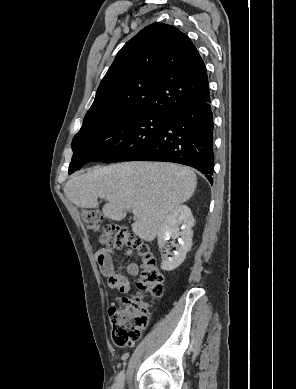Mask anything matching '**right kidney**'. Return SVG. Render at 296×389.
<instances>
[{"label":"right kidney","instance_id":"ca27d5eb","mask_svg":"<svg viewBox=\"0 0 296 389\" xmlns=\"http://www.w3.org/2000/svg\"><path fill=\"white\" fill-rule=\"evenodd\" d=\"M195 224L191 209L186 205L177 206L165 218L158 230V245L161 249L169 247L167 241L172 238V247L176 248L174 255L162 260L161 269L172 271L184 261L186 254L192 247L193 230ZM178 239V243H175Z\"/></svg>","mask_w":296,"mask_h":389}]
</instances>
